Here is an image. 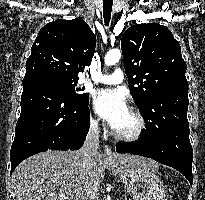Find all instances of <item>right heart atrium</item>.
Here are the masks:
<instances>
[{
	"mask_svg": "<svg viewBox=\"0 0 205 200\" xmlns=\"http://www.w3.org/2000/svg\"><path fill=\"white\" fill-rule=\"evenodd\" d=\"M90 126H91L93 129H97L98 126H99V120H98L96 117L92 116V117L90 118Z\"/></svg>",
	"mask_w": 205,
	"mask_h": 200,
	"instance_id": "1",
	"label": "right heart atrium"
}]
</instances>
